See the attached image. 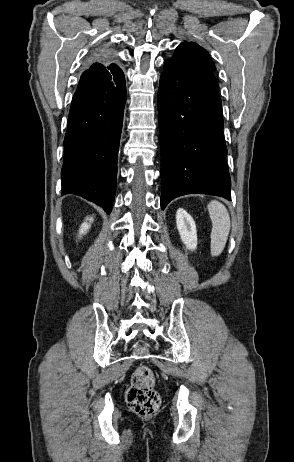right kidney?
I'll return each mask as SVG.
<instances>
[{"label":"right kidney","mask_w":294,"mask_h":462,"mask_svg":"<svg viewBox=\"0 0 294 462\" xmlns=\"http://www.w3.org/2000/svg\"><path fill=\"white\" fill-rule=\"evenodd\" d=\"M87 221H89V223H88ZM92 221H93V218H92V217H89V218L87 217V218H86V222H84V223L81 224V227H80V230H79L80 236H81L82 234H85V233L89 230V228H90V223H91Z\"/></svg>","instance_id":"right-kidney-1"}]
</instances>
